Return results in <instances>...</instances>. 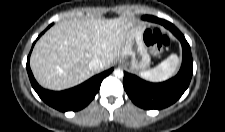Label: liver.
<instances>
[{
    "label": "liver",
    "mask_w": 225,
    "mask_h": 132,
    "mask_svg": "<svg viewBox=\"0 0 225 132\" xmlns=\"http://www.w3.org/2000/svg\"><path fill=\"white\" fill-rule=\"evenodd\" d=\"M136 24L132 17L115 19H69L51 27L37 41L30 67L44 88L60 91L76 86L96 72L89 68L94 58L108 69L124 45L126 34Z\"/></svg>",
    "instance_id": "1"
}]
</instances>
